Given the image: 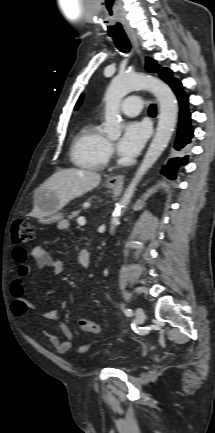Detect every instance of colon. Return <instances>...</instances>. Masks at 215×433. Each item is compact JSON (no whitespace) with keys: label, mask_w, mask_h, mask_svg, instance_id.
<instances>
[{"label":"colon","mask_w":215,"mask_h":433,"mask_svg":"<svg viewBox=\"0 0 215 433\" xmlns=\"http://www.w3.org/2000/svg\"><path fill=\"white\" fill-rule=\"evenodd\" d=\"M33 238V229L27 223L23 220H17L14 222L12 226V242L15 245H22L29 241H31ZM79 327L83 331L91 332V333H98L100 331V326L97 322L91 321L85 318H80L78 320Z\"/></svg>","instance_id":"obj_1"}]
</instances>
